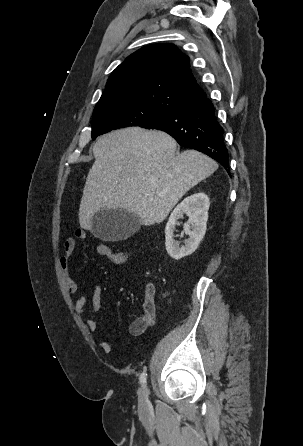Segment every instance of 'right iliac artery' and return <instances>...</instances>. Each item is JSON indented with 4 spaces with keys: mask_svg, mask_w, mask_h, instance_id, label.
I'll use <instances>...</instances> for the list:
<instances>
[{
    "mask_svg": "<svg viewBox=\"0 0 303 446\" xmlns=\"http://www.w3.org/2000/svg\"><path fill=\"white\" fill-rule=\"evenodd\" d=\"M147 374L143 372L140 376V382L144 385L146 383Z\"/></svg>",
    "mask_w": 303,
    "mask_h": 446,
    "instance_id": "1",
    "label": "right iliac artery"
}]
</instances>
